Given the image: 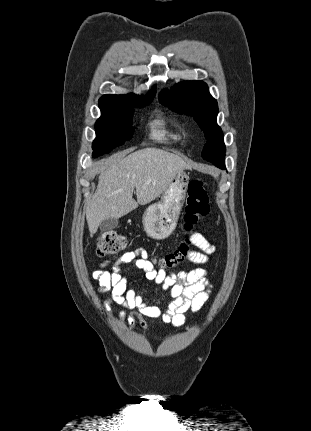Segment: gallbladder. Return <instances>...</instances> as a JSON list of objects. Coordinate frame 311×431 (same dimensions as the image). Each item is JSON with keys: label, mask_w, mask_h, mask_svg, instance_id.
Wrapping results in <instances>:
<instances>
[{"label": "gallbladder", "mask_w": 311, "mask_h": 431, "mask_svg": "<svg viewBox=\"0 0 311 431\" xmlns=\"http://www.w3.org/2000/svg\"><path fill=\"white\" fill-rule=\"evenodd\" d=\"M117 225H119V219H115V217H109V219H103L99 227L101 231H111V229H115Z\"/></svg>", "instance_id": "bac80fb5"}]
</instances>
